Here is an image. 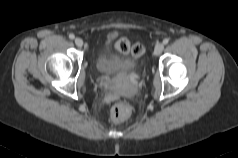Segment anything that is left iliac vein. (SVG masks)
Returning a JSON list of instances; mask_svg holds the SVG:
<instances>
[{
    "mask_svg": "<svg viewBox=\"0 0 238 158\" xmlns=\"http://www.w3.org/2000/svg\"><path fill=\"white\" fill-rule=\"evenodd\" d=\"M164 50V44L163 43H157L155 46V54L159 55L162 53V51Z\"/></svg>",
    "mask_w": 238,
    "mask_h": 158,
    "instance_id": "4c4485c4",
    "label": "left iliac vein"
}]
</instances>
